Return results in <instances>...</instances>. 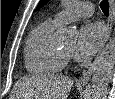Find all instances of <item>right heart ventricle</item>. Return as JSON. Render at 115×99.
Wrapping results in <instances>:
<instances>
[{
	"instance_id": "e07e8e85",
	"label": "right heart ventricle",
	"mask_w": 115,
	"mask_h": 99,
	"mask_svg": "<svg viewBox=\"0 0 115 99\" xmlns=\"http://www.w3.org/2000/svg\"><path fill=\"white\" fill-rule=\"evenodd\" d=\"M56 26L55 22L47 20L30 33L25 45V65L29 73L48 76L63 69L65 61L53 43Z\"/></svg>"
}]
</instances>
